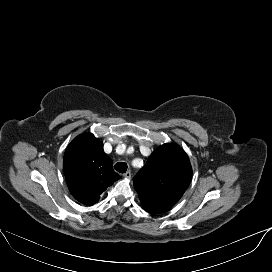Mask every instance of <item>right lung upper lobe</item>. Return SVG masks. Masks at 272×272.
<instances>
[{
    "label": "right lung upper lobe",
    "mask_w": 272,
    "mask_h": 272,
    "mask_svg": "<svg viewBox=\"0 0 272 272\" xmlns=\"http://www.w3.org/2000/svg\"><path fill=\"white\" fill-rule=\"evenodd\" d=\"M103 151V143L91 133L77 136L67 147L63 169L72 196L91 206L121 176Z\"/></svg>",
    "instance_id": "1"
}]
</instances>
